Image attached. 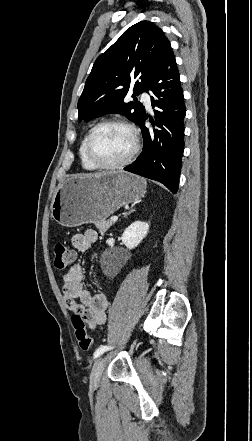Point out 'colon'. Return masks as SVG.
I'll return each mask as SVG.
<instances>
[{
    "instance_id": "5ec220e1",
    "label": "colon",
    "mask_w": 252,
    "mask_h": 441,
    "mask_svg": "<svg viewBox=\"0 0 252 441\" xmlns=\"http://www.w3.org/2000/svg\"><path fill=\"white\" fill-rule=\"evenodd\" d=\"M55 260L54 265L58 269L65 268L74 258V254L65 245L57 244L54 249ZM74 327L76 339L82 350H88L92 345V338L86 330V324L82 317L74 313L71 317Z\"/></svg>"
}]
</instances>
